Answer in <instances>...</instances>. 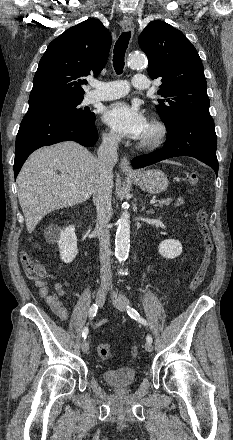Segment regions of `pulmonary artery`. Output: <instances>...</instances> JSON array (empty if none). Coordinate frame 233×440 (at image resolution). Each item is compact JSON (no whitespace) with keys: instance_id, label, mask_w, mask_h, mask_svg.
<instances>
[{"instance_id":"e3ab8cb5","label":"pulmonary artery","mask_w":233,"mask_h":440,"mask_svg":"<svg viewBox=\"0 0 233 440\" xmlns=\"http://www.w3.org/2000/svg\"><path fill=\"white\" fill-rule=\"evenodd\" d=\"M132 85L136 89H147L148 83L146 76L142 74L134 75ZM94 86L96 89L90 91L87 95V101L89 103L117 99L125 96L130 90L128 82L124 80L97 82Z\"/></svg>"}]
</instances>
